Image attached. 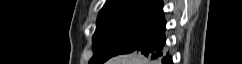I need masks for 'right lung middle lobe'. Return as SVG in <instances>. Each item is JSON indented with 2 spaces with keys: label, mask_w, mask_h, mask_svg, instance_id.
I'll use <instances>...</instances> for the list:
<instances>
[{
  "label": "right lung middle lobe",
  "mask_w": 242,
  "mask_h": 64,
  "mask_svg": "<svg viewBox=\"0 0 242 64\" xmlns=\"http://www.w3.org/2000/svg\"><path fill=\"white\" fill-rule=\"evenodd\" d=\"M164 23L163 14L154 12L117 13L98 19L89 64H103L112 56L136 50Z\"/></svg>",
  "instance_id": "obj_1"
}]
</instances>
